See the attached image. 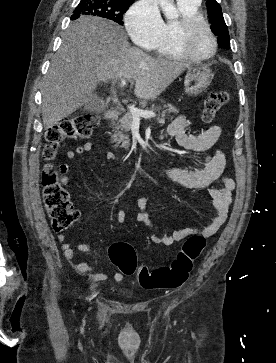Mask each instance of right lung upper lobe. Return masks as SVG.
I'll return each instance as SVG.
<instances>
[{
	"label": "right lung upper lobe",
	"instance_id": "cb5924a9",
	"mask_svg": "<svg viewBox=\"0 0 276 363\" xmlns=\"http://www.w3.org/2000/svg\"><path fill=\"white\" fill-rule=\"evenodd\" d=\"M118 1L133 2L134 0H118Z\"/></svg>",
	"mask_w": 276,
	"mask_h": 363
}]
</instances>
